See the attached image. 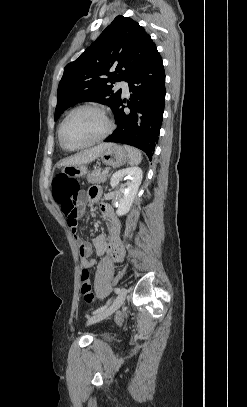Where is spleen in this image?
<instances>
[{"label": "spleen", "instance_id": "3e777b00", "mask_svg": "<svg viewBox=\"0 0 247 407\" xmlns=\"http://www.w3.org/2000/svg\"><path fill=\"white\" fill-rule=\"evenodd\" d=\"M124 148L129 154L130 165H138L142 160V153L138 149L128 145H125Z\"/></svg>", "mask_w": 247, "mask_h": 407}]
</instances>
